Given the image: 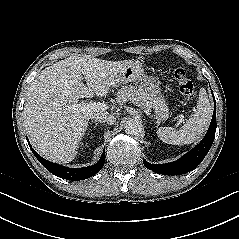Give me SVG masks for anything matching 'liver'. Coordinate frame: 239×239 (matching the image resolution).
Segmentation results:
<instances>
[{"label": "liver", "instance_id": "liver-1", "mask_svg": "<svg viewBox=\"0 0 239 239\" xmlns=\"http://www.w3.org/2000/svg\"><path fill=\"white\" fill-rule=\"evenodd\" d=\"M126 63L71 56L37 75L28 89L23 118L31 145L41 156L61 163L76 157L89 119L107 114L76 109L79 98L106 97Z\"/></svg>", "mask_w": 239, "mask_h": 239}]
</instances>
